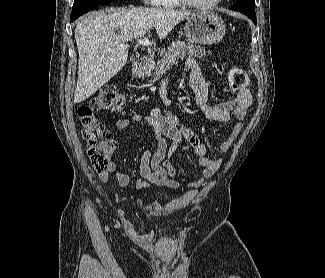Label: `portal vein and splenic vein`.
Wrapping results in <instances>:
<instances>
[{"instance_id": "portal-vein-and-splenic-vein-1", "label": "portal vein and splenic vein", "mask_w": 325, "mask_h": 278, "mask_svg": "<svg viewBox=\"0 0 325 278\" xmlns=\"http://www.w3.org/2000/svg\"><path fill=\"white\" fill-rule=\"evenodd\" d=\"M137 43L139 45H142V46H146V47H149L152 45V43L149 41L148 37H144L142 39H138L137 40ZM122 49H127L129 46L126 44V45H121L120 46Z\"/></svg>"}]
</instances>
